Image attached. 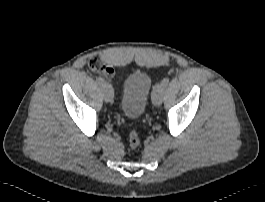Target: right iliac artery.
<instances>
[{"label":"right iliac artery","mask_w":265,"mask_h":202,"mask_svg":"<svg viewBox=\"0 0 265 202\" xmlns=\"http://www.w3.org/2000/svg\"><path fill=\"white\" fill-rule=\"evenodd\" d=\"M96 81H97V83H98L100 86H103V85L105 84L104 79L101 78V77H97V78H96Z\"/></svg>","instance_id":"right-iliac-artery-1"}]
</instances>
